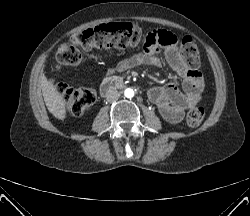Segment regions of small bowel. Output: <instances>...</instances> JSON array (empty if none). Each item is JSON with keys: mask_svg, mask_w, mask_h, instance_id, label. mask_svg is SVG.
I'll return each mask as SVG.
<instances>
[{"mask_svg": "<svg viewBox=\"0 0 250 216\" xmlns=\"http://www.w3.org/2000/svg\"><path fill=\"white\" fill-rule=\"evenodd\" d=\"M176 37L168 31H154L142 42L144 51L129 58L122 59L115 67L107 70L106 75L126 71L140 65L160 66V50L165 49L164 57L173 71L170 80L149 90V99L157 106L162 117L170 123H178L183 119L186 110L197 105L204 89L202 75L197 70L184 67L180 53L176 49ZM182 78V91L176 86L174 77Z\"/></svg>", "mask_w": 250, "mask_h": 216, "instance_id": "c3829d8e", "label": "small bowel"}]
</instances>
